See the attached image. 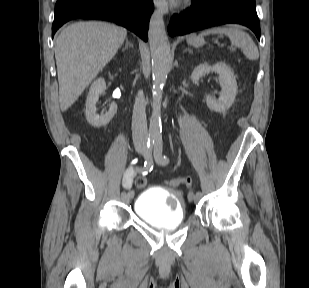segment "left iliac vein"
Listing matches in <instances>:
<instances>
[{"label": "left iliac vein", "mask_w": 309, "mask_h": 288, "mask_svg": "<svg viewBox=\"0 0 309 288\" xmlns=\"http://www.w3.org/2000/svg\"><path fill=\"white\" fill-rule=\"evenodd\" d=\"M188 199H189V201H195V202H196V201H198L200 198H198V197H196V196L194 197L193 194H192V192H190L189 195H188Z\"/></svg>", "instance_id": "1"}]
</instances>
